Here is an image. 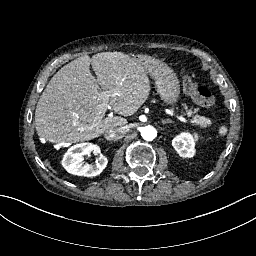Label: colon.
<instances>
[{
    "label": "colon",
    "instance_id": "colon-1",
    "mask_svg": "<svg viewBox=\"0 0 256 256\" xmlns=\"http://www.w3.org/2000/svg\"><path fill=\"white\" fill-rule=\"evenodd\" d=\"M183 91L188 94L197 104L203 107H211L215 103L213 90L207 85H197L193 74L185 71L182 75Z\"/></svg>",
    "mask_w": 256,
    "mask_h": 256
}]
</instances>
